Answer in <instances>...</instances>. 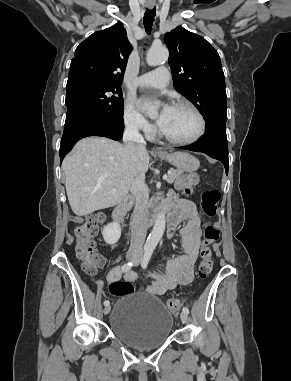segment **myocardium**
<instances>
[{
  "mask_svg": "<svg viewBox=\"0 0 291 381\" xmlns=\"http://www.w3.org/2000/svg\"><path fill=\"white\" fill-rule=\"evenodd\" d=\"M177 107L188 108L196 114V116L199 119V129H198L197 133L188 139H176V138H173V137L165 134L159 128L158 133H159L160 137H162L163 139H165L166 141H168L170 143L177 144V145H190V144H193V143L199 141L203 137V135L205 134L206 127H207V123H206V119H205L204 114L201 112V110L195 104H193L192 102L186 101V100L176 102L173 105V108H177Z\"/></svg>",
  "mask_w": 291,
  "mask_h": 381,
  "instance_id": "f54148a6",
  "label": "myocardium"
}]
</instances>
